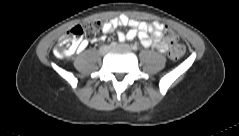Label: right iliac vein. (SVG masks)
Listing matches in <instances>:
<instances>
[{"mask_svg": "<svg viewBox=\"0 0 239 136\" xmlns=\"http://www.w3.org/2000/svg\"><path fill=\"white\" fill-rule=\"evenodd\" d=\"M110 48H111L110 46L104 45V46L100 47L99 52L101 55H104L110 50Z\"/></svg>", "mask_w": 239, "mask_h": 136, "instance_id": "obj_1", "label": "right iliac vein"}]
</instances>
